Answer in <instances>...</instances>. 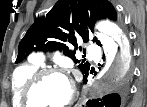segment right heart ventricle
Returning <instances> with one entry per match:
<instances>
[{
	"label": "right heart ventricle",
	"mask_w": 147,
	"mask_h": 107,
	"mask_svg": "<svg viewBox=\"0 0 147 107\" xmlns=\"http://www.w3.org/2000/svg\"><path fill=\"white\" fill-rule=\"evenodd\" d=\"M42 67V63L35 60L17 67L11 79V101L13 107H24L22 93L30 78Z\"/></svg>",
	"instance_id": "obj_1"
}]
</instances>
